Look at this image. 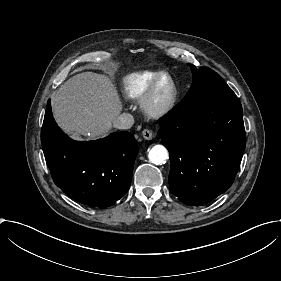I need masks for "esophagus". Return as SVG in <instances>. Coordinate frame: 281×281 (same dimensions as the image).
Segmentation results:
<instances>
[{"label": "esophagus", "mask_w": 281, "mask_h": 281, "mask_svg": "<svg viewBox=\"0 0 281 281\" xmlns=\"http://www.w3.org/2000/svg\"><path fill=\"white\" fill-rule=\"evenodd\" d=\"M142 136L146 140H151L153 138V133L149 129H144L142 131Z\"/></svg>", "instance_id": "obj_1"}]
</instances>
